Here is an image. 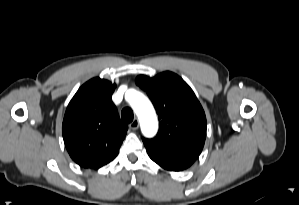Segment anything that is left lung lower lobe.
Returning <instances> with one entry per match:
<instances>
[{
  "instance_id": "obj_1",
  "label": "left lung lower lobe",
  "mask_w": 299,
  "mask_h": 205,
  "mask_svg": "<svg viewBox=\"0 0 299 205\" xmlns=\"http://www.w3.org/2000/svg\"><path fill=\"white\" fill-rule=\"evenodd\" d=\"M149 157L162 168L181 171L190 167L200 155L204 144L184 140H145Z\"/></svg>"
}]
</instances>
